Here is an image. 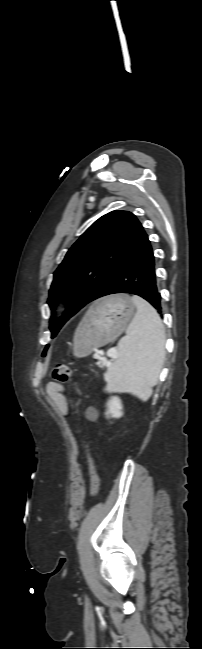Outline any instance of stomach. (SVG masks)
Listing matches in <instances>:
<instances>
[{
  "instance_id": "obj_1",
  "label": "stomach",
  "mask_w": 202,
  "mask_h": 649,
  "mask_svg": "<svg viewBox=\"0 0 202 649\" xmlns=\"http://www.w3.org/2000/svg\"><path fill=\"white\" fill-rule=\"evenodd\" d=\"M129 295H112L97 301L74 333V354L84 357L116 338L135 315Z\"/></svg>"
}]
</instances>
